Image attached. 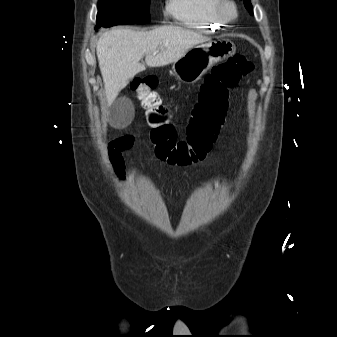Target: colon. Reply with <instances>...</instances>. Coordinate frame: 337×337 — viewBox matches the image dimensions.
I'll return each instance as SVG.
<instances>
[{
  "instance_id": "colon-1",
  "label": "colon",
  "mask_w": 337,
  "mask_h": 337,
  "mask_svg": "<svg viewBox=\"0 0 337 337\" xmlns=\"http://www.w3.org/2000/svg\"><path fill=\"white\" fill-rule=\"evenodd\" d=\"M252 70V62L241 55H235L211 70L201 85L184 139L178 138L170 112L153 95L157 80L151 76L136 78L131 90L142 100L146 110L149 139L156 157L172 165H187L203 159L224 121L229 89Z\"/></svg>"
}]
</instances>
